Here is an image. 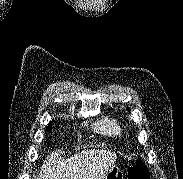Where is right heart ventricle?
Masks as SVG:
<instances>
[{
	"instance_id": "obj_1",
	"label": "right heart ventricle",
	"mask_w": 183,
	"mask_h": 179,
	"mask_svg": "<svg viewBox=\"0 0 183 179\" xmlns=\"http://www.w3.org/2000/svg\"><path fill=\"white\" fill-rule=\"evenodd\" d=\"M101 131L104 133H118L119 132V127L110 120H105L101 122V125L99 127Z\"/></svg>"
}]
</instances>
